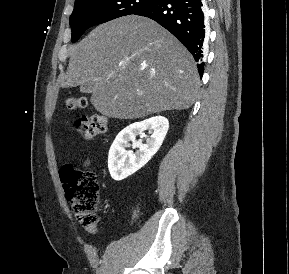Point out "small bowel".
Wrapping results in <instances>:
<instances>
[{
  "label": "small bowel",
  "instance_id": "1",
  "mask_svg": "<svg viewBox=\"0 0 289 274\" xmlns=\"http://www.w3.org/2000/svg\"><path fill=\"white\" fill-rule=\"evenodd\" d=\"M89 164H90V160L87 159V160H85V161L83 162L82 165H83L84 167H87Z\"/></svg>",
  "mask_w": 289,
  "mask_h": 274
}]
</instances>
